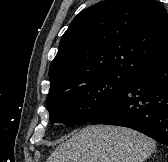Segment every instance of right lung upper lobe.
<instances>
[{"label":"right lung upper lobe","mask_w":168,"mask_h":162,"mask_svg":"<svg viewBox=\"0 0 168 162\" xmlns=\"http://www.w3.org/2000/svg\"><path fill=\"white\" fill-rule=\"evenodd\" d=\"M168 59V13L155 0H105L78 14L50 64V91ZM49 91V92H50Z\"/></svg>","instance_id":"right-lung-upper-lobe-1"}]
</instances>
